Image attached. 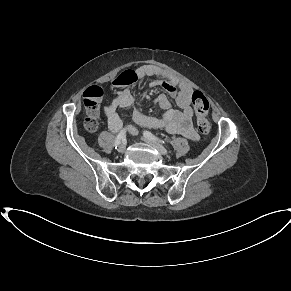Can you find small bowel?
I'll return each mask as SVG.
<instances>
[{
    "label": "small bowel",
    "mask_w": 291,
    "mask_h": 291,
    "mask_svg": "<svg viewBox=\"0 0 291 291\" xmlns=\"http://www.w3.org/2000/svg\"><path fill=\"white\" fill-rule=\"evenodd\" d=\"M135 76L138 79L151 76L159 77L160 79L152 82V85L162 86L175 99L179 109H173L168 96L161 94L155 100V103L162 110L160 117L149 116L142 110H135L132 115L133 120L141 126L165 129L171 134H181L192 141H196L198 134L192 125V87L187 83L180 82L178 79L167 74L162 68L153 64L142 65L137 69ZM132 103V92L128 88H124L119 90L116 96L103 106V114L107 120L108 129L111 132H118L125 126L130 134H137V130L133 126L124 124L117 112L118 108H130Z\"/></svg>",
    "instance_id": "obj_1"
}]
</instances>
